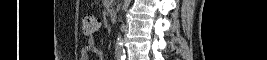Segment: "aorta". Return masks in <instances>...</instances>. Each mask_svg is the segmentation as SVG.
Listing matches in <instances>:
<instances>
[{
    "instance_id": "aorta-1",
    "label": "aorta",
    "mask_w": 267,
    "mask_h": 60,
    "mask_svg": "<svg viewBox=\"0 0 267 60\" xmlns=\"http://www.w3.org/2000/svg\"><path fill=\"white\" fill-rule=\"evenodd\" d=\"M130 3H131V0H123V5L121 7L122 12H126L128 10ZM116 52L119 54H123V52H124L121 34H118V36H117Z\"/></svg>"
}]
</instances>
